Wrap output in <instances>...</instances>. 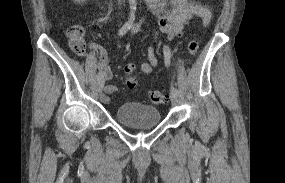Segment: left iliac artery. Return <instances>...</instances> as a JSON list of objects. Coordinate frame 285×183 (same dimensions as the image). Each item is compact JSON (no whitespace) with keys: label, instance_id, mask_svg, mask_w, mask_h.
Segmentation results:
<instances>
[{"label":"left iliac artery","instance_id":"left-iliac-artery-1","mask_svg":"<svg viewBox=\"0 0 285 183\" xmlns=\"http://www.w3.org/2000/svg\"><path fill=\"white\" fill-rule=\"evenodd\" d=\"M163 52H164V57H165V64L166 66H168L170 64V58H171V52L168 46L164 45L163 47ZM171 92L178 95L179 92L177 90V88L175 87H171Z\"/></svg>","mask_w":285,"mask_h":183}]
</instances>
